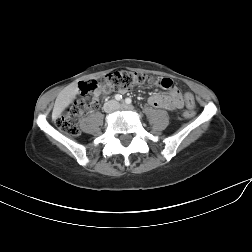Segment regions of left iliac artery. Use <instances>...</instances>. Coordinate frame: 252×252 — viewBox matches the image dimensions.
<instances>
[{"label":"left iliac artery","mask_w":252,"mask_h":252,"mask_svg":"<svg viewBox=\"0 0 252 252\" xmlns=\"http://www.w3.org/2000/svg\"><path fill=\"white\" fill-rule=\"evenodd\" d=\"M131 102H132V100H131L130 98H126V99H125V103H126V104H131Z\"/></svg>","instance_id":"44dca946"}]
</instances>
